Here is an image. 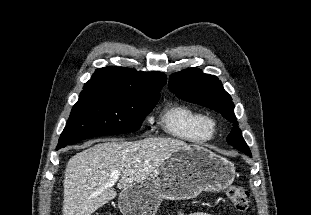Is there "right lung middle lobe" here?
<instances>
[{
	"label": "right lung middle lobe",
	"mask_w": 311,
	"mask_h": 215,
	"mask_svg": "<svg viewBox=\"0 0 311 215\" xmlns=\"http://www.w3.org/2000/svg\"><path fill=\"white\" fill-rule=\"evenodd\" d=\"M160 97L140 98L108 92H81L56 150L83 139L137 131Z\"/></svg>",
	"instance_id": "obj_1"
}]
</instances>
